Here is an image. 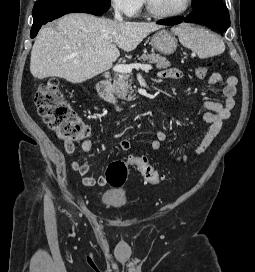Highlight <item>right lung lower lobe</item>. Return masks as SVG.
I'll return each instance as SVG.
<instances>
[{
	"mask_svg": "<svg viewBox=\"0 0 255 272\" xmlns=\"http://www.w3.org/2000/svg\"><path fill=\"white\" fill-rule=\"evenodd\" d=\"M82 12L101 16L104 12L74 0H43L33 7V25L30 37L34 38L43 24L57 19L65 14Z\"/></svg>",
	"mask_w": 255,
	"mask_h": 272,
	"instance_id": "98d812e1",
	"label": "right lung lower lobe"
}]
</instances>
